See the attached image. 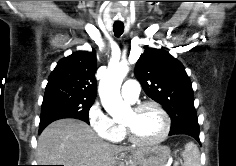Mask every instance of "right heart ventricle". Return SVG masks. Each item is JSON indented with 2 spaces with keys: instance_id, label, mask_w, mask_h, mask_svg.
<instances>
[{
  "instance_id": "1",
  "label": "right heart ventricle",
  "mask_w": 236,
  "mask_h": 166,
  "mask_svg": "<svg viewBox=\"0 0 236 166\" xmlns=\"http://www.w3.org/2000/svg\"><path fill=\"white\" fill-rule=\"evenodd\" d=\"M117 127H118V137L116 141H121L125 138V131L122 126L117 125Z\"/></svg>"
}]
</instances>
